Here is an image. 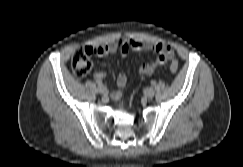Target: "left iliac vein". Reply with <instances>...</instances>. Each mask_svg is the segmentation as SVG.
<instances>
[{"label":"left iliac vein","mask_w":243,"mask_h":167,"mask_svg":"<svg viewBox=\"0 0 243 167\" xmlns=\"http://www.w3.org/2000/svg\"><path fill=\"white\" fill-rule=\"evenodd\" d=\"M144 95H145L146 98L151 99V98L154 97V95H155V91H154L153 88H147V89L145 90V92H144Z\"/></svg>","instance_id":"obj_1"}]
</instances>
